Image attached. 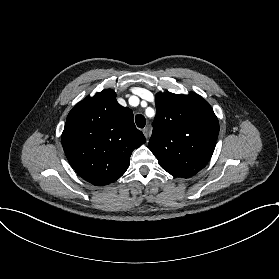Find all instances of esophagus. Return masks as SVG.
<instances>
[{
    "mask_svg": "<svg viewBox=\"0 0 279 279\" xmlns=\"http://www.w3.org/2000/svg\"><path fill=\"white\" fill-rule=\"evenodd\" d=\"M149 131H150V129H149L148 126L145 127V128L142 130V132H143V134H144V136H145L146 138L149 137Z\"/></svg>",
    "mask_w": 279,
    "mask_h": 279,
    "instance_id": "obj_1",
    "label": "esophagus"
}]
</instances>
